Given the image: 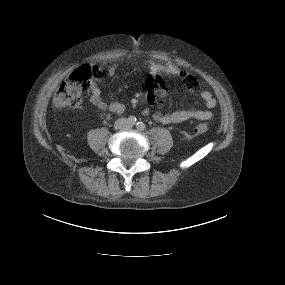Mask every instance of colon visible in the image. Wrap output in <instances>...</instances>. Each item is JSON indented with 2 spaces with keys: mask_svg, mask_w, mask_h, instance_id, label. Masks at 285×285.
Wrapping results in <instances>:
<instances>
[{
  "mask_svg": "<svg viewBox=\"0 0 285 285\" xmlns=\"http://www.w3.org/2000/svg\"><path fill=\"white\" fill-rule=\"evenodd\" d=\"M94 68L84 64L77 67L64 81L53 97V106L57 109L75 108L82 102L84 95L90 90ZM207 131L206 124H196L191 128L193 134Z\"/></svg>",
  "mask_w": 285,
  "mask_h": 285,
  "instance_id": "5ec220e1",
  "label": "colon"
}]
</instances>
